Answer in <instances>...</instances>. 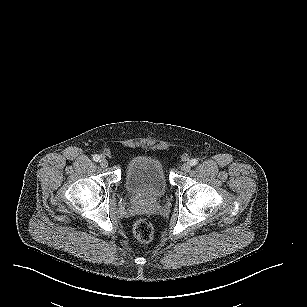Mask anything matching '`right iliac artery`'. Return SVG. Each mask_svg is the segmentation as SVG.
<instances>
[{
	"label": "right iliac artery",
	"mask_w": 307,
	"mask_h": 307,
	"mask_svg": "<svg viewBox=\"0 0 307 307\" xmlns=\"http://www.w3.org/2000/svg\"><path fill=\"white\" fill-rule=\"evenodd\" d=\"M100 156L99 155H97V154H95L94 156H93V160L94 161H96V162H100Z\"/></svg>",
	"instance_id": "82829eb1"
}]
</instances>
